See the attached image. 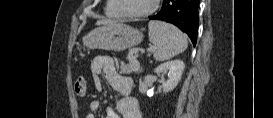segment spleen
<instances>
[{
    "mask_svg": "<svg viewBox=\"0 0 273 118\" xmlns=\"http://www.w3.org/2000/svg\"><path fill=\"white\" fill-rule=\"evenodd\" d=\"M148 27L155 60H168L188 47L186 35L176 27L160 21H150Z\"/></svg>",
    "mask_w": 273,
    "mask_h": 118,
    "instance_id": "spleen-1",
    "label": "spleen"
}]
</instances>
